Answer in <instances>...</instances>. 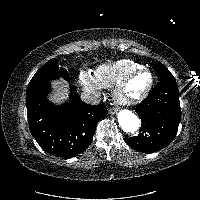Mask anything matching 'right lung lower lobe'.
<instances>
[{"mask_svg": "<svg viewBox=\"0 0 200 200\" xmlns=\"http://www.w3.org/2000/svg\"><path fill=\"white\" fill-rule=\"evenodd\" d=\"M50 83H36L26 93L27 117L31 134L49 154L70 157L86 150L98 121L107 115L104 105L84 103L70 86V101L58 106L47 99Z\"/></svg>", "mask_w": 200, "mask_h": 200, "instance_id": "98d812e1", "label": "right lung lower lobe"}]
</instances>
